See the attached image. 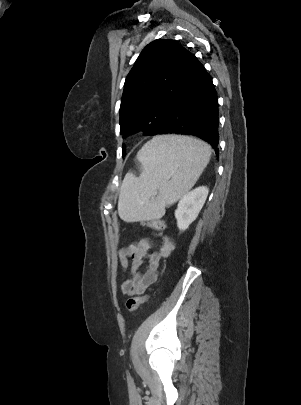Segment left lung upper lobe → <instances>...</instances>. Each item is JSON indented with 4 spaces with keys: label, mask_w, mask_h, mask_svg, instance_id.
<instances>
[{
    "label": "left lung upper lobe",
    "mask_w": 301,
    "mask_h": 405,
    "mask_svg": "<svg viewBox=\"0 0 301 405\" xmlns=\"http://www.w3.org/2000/svg\"><path fill=\"white\" fill-rule=\"evenodd\" d=\"M194 55L174 40L148 44L126 77L120 133L154 135L189 73ZM125 149H123V152Z\"/></svg>",
    "instance_id": "obj_1"
}]
</instances>
